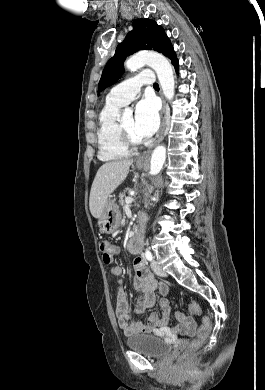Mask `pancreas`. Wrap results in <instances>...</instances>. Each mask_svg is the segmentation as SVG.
Instances as JSON below:
<instances>
[{
    "mask_svg": "<svg viewBox=\"0 0 265 390\" xmlns=\"http://www.w3.org/2000/svg\"><path fill=\"white\" fill-rule=\"evenodd\" d=\"M130 192V189L128 190V193ZM124 202H125V192L124 193H122V194H120V196H119V203L121 204V205H124Z\"/></svg>",
    "mask_w": 265,
    "mask_h": 390,
    "instance_id": "1",
    "label": "pancreas"
}]
</instances>
